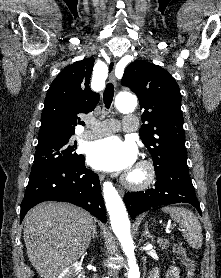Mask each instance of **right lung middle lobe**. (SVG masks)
<instances>
[{
    "mask_svg": "<svg viewBox=\"0 0 221 278\" xmlns=\"http://www.w3.org/2000/svg\"><path fill=\"white\" fill-rule=\"evenodd\" d=\"M70 137L39 141L30 177L53 166L82 161L84 156L74 152L77 148L76 142L73 143Z\"/></svg>",
    "mask_w": 221,
    "mask_h": 278,
    "instance_id": "dd1d6c3e",
    "label": "right lung middle lobe"
}]
</instances>
